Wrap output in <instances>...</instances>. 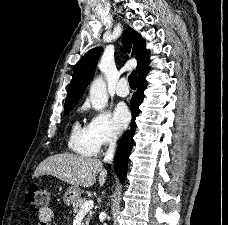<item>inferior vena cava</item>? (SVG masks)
Masks as SVG:
<instances>
[{"label": "inferior vena cava", "mask_w": 228, "mask_h": 225, "mask_svg": "<svg viewBox=\"0 0 228 225\" xmlns=\"http://www.w3.org/2000/svg\"><path fill=\"white\" fill-rule=\"evenodd\" d=\"M116 141H117L116 133H111L110 145H109V149H107L106 151V155L104 157V163H111V161H113Z\"/></svg>", "instance_id": "602c4592"}]
</instances>
